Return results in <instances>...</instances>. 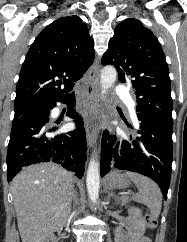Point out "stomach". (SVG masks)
<instances>
[{
	"mask_svg": "<svg viewBox=\"0 0 187 242\" xmlns=\"http://www.w3.org/2000/svg\"><path fill=\"white\" fill-rule=\"evenodd\" d=\"M104 185L105 188L109 190L125 189L129 187L130 179L126 176V174L114 171L105 178Z\"/></svg>",
	"mask_w": 187,
	"mask_h": 242,
	"instance_id": "1",
	"label": "stomach"
}]
</instances>
